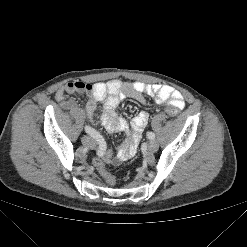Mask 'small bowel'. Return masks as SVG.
<instances>
[{
    "instance_id": "obj_1",
    "label": "small bowel",
    "mask_w": 247,
    "mask_h": 247,
    "mask_svg": "<svg viewBox=\"0 0 247 247\" xmlns=\"http://www.w3.org/2000/svg\"><path fill=\"white\" fill-rule=\"evenodd\" d=\"M83 93L88 96L86 115L91 124H98L110 133L126 132L129 139L124 142L115 158L111 152H104V163L118 165L122 161L134 155L141 134L147 123L148 115L145 112L138 113L131 121L130 126L125 119L118 116L115 109L125 99H132L139 103H145L144 95L152 96L154 100L163 105H170L183 109L185 101L181 93L168 85L145 84L141 82H122L118 79L95 84L74 81L60 87L55 93L58 104L66 110L79 113L80 108L73 99H67L68 94ZM101 112L97 113L98 108Z\"/></svg>"
}]
</instances>
